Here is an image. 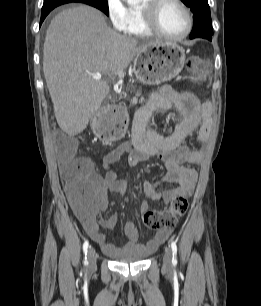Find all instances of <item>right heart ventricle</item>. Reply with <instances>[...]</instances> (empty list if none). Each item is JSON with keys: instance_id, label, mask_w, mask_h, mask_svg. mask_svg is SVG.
Returning <instances> with one entry per match:
<instances>
[{"instance_id": "obj_1", "label": "right heart ventricle", "mask_w": 261, "mask_h": 306, "mask_svg": "<svg viewBox=\"0 0 261 306\" xmlns=\"http://www.w3.org/2000/svg\"><path fill=\"white\" fill-rule=\"evenodd\" d=\"M146 1L140 0L139 4L127 7V22L123 29L126 34L139 38L153 37L154 33L147 27L142 12V5Z\"/></svg>"}]
</instances>
